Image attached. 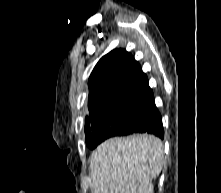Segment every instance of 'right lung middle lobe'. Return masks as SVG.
Returning <instances> with one entry per match:
<instances>
[{"label": "right lung middle lobe", "mask_w": 221, "mask_h": 193, "mask_svg": "<svg viewBox=\"0 0 221 193\" xmlns=\"http://www.w3.org/2000/svg\"><path fill=\"white\" fill-rule=\"evenodd\" d=\"M153 107L149 101L123 100L107 105L86 118V144L94 149L104 140L119 136L145 119Z\"/></svg>", "instance_id": "obj_1"}]
</instances>
